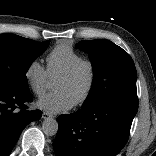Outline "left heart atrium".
Segmentation results:
<instances>
[{
  "label": "left heart atrium",
  "mask_w": 156,
  "mask_h": 156,
  "mask_svg": "<svg viewBox=\"0 0 156 156\" xmlns=\"http://www.w3.org/2000/svg\"><path fill=\"white\" fill-rule=\"evenodd\" d=\"M37 105L48 113L56 114L71 109L73 102L63 92L55 91L42 97Z\"/></svg>",
  "instance_id": "1"
}]
</instances>
